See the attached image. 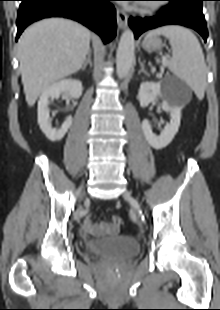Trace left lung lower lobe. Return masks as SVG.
I'll return each instance as SVG.
<instances>
[{"mask_svg": "<svg viewBox=\"0 0 220 310\" xmlns=\"http://www.w3.org/2000/svg\"><path fill=\"white\" fill-rule=\"evenodd\" d=\"M169 4L161 8L159 14L153 17H130L129 25L135 38L143 32L164 25H182L196 30L206 42L208 32L202 13L203 0H162Z\"/></svg>", "mask_w": 220, "mask_h": 310, "instance_id": "1", "label": "left lung lower lobe"}]
</instances>
